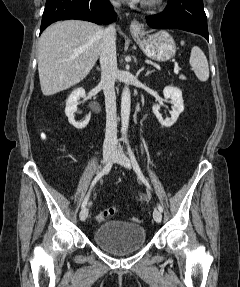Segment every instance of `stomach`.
I'll list each match as a JSON object with an SVG mask.
<instances>
[{"mask_svg":"<svg viewBox=\"0 0 240 287\" xmlns=\"http://www.w3.org/2000/svg\"><path fill=\"white\" fill-rule=\"evenodd\" d=\"M133 37L143 53L153 60L167 61L176 53L175 41L166 31L152 35L133 34Z\"/></svg>","mask_w":240,"mask_h":287,"instance_id":"stomach-1","label":"stomach"}]
</instances>
